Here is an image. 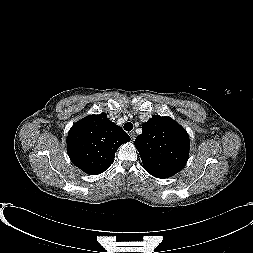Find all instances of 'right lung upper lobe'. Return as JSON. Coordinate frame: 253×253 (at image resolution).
Masks as SVG:
<instances>
[{
    "instance_id": "right-lung-upper-lobe-1",
    "label": "right lung upper lobe",
    "mask_w": 253,
    "mask_h": 253,
    "mask_svg": "<svg viewBox=\"0 0 253 253\" xmlns=\"http://www.w3.org/2000/svg\"><path fill=\"white\" fill-rule=\"evenodd\" d=\"M128 141V134L101 113L87 116L71 127L67 151L75 166L97 175L111 166L118 147Z\"/></svg>"
}]
</instances>
